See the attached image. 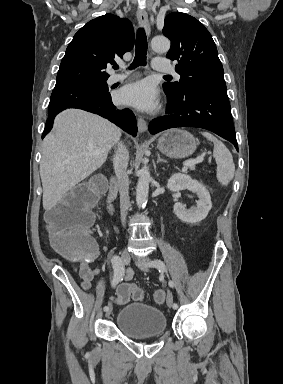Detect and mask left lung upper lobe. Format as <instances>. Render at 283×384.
Wrapping results in <instances>:
<instances>
[{"label":"left lung upper lobe","mask_w":283,"mask_h":384,"mask_svg":"<svg viewBox=\"0 0 283 384\" xmlns=\"http://www.w3.org/2000/svg\"><path fill=\"white\" fill-rule=\"evenodd\" d=\"M163 34L171 40L166 58L177 60L179 82L164 83L165 93L181 95L187 89L226 90L223 66L211 34L196 18L181 12L165 17Z\"/></svg>","instance_id":"1"}]
</instances>
